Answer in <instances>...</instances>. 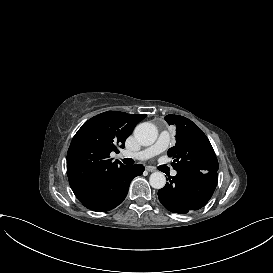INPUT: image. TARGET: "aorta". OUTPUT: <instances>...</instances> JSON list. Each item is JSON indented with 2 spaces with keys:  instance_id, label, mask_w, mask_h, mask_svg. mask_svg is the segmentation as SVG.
Returning a JSON list of instances; mask_svg holds the SVG:
<instances>
[{
  "instance_id": "obj_1",
  "label": "aorta",
  "mask_w": 273,
  "mask_h": 273,
  "mask_svg": "<svg viewBox=\"0 0 273 273\" xmlns=\"http://www.w3.org/2000/svg\"><path fill=\"white\" fill-rule=\"evenodd\" d=\"M157 128L149 122L140 123L134 130L136 141L142 146L152 145L157 139ZM150 185L155 189H161L166 184V177L162 172H154L149 178Z\"/></svg>"
}]
</instances>
